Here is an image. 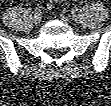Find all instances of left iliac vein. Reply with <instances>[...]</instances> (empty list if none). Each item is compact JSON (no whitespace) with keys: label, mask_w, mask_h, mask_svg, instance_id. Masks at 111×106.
I'll use <instances>...</instances> for the list:
<instances>
[{"label":"left iliac vein","mask_w":111,"mask_h":106,"mask_svg":"<svg viewBox=\"0 0 111 106\" xmlns=\"http://www.w3.org/2000/svg\"><path fill=\"white\" fill-rule=\"evenodd\" d=\"M71 17H72L73 20H77V15L76 14H72Z\"/></svg>","instance_id":"left-iliac-vein-1"}]
</instances>
